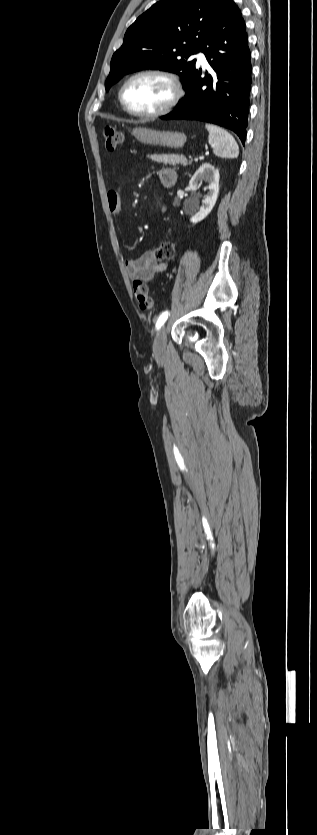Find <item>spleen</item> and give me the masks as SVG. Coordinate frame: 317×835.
<instances>
[{
  "instance_id": "spleen-1",
  "label": "spleen",
  "mask_w": 317,
  "mask_h": 835,
  "mask_svg": "<svg viewBox=\"0 0 317 835\" xmlns=\"http://www.w3.org/2000/svg\"><path fill=\"white\" fill-rule=\"evenodd\" d=\"M205 127L209 132L208 142L216 156L223 158H236L238 156V144L229 132L214 124H206Z\"/></svg>"
}]
</instances>
